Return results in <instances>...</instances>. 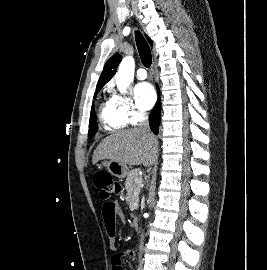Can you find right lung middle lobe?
Instances as JSON below:
<instances>
[{
    "instance_id": "obj_1",
    "label": "right lung middle lobe",
    "mask_w": 267,
    "mask_h": 270,
    "mask_svg": "<svg viewBox=\"0 0 267 270\" xmlns=\"http://www.w3.org/2000/svg\"><path fill=\"white\" fill-rule=\"evenodd\" d=\"M99 91H96L94 94V98L96 97L97 93ZM98 130V124H97V119H96V114L94 110V106L92 105L91 108V113H90V121H89V132H88V137L92 138Z\"/></svg>"
}]
</instances>
